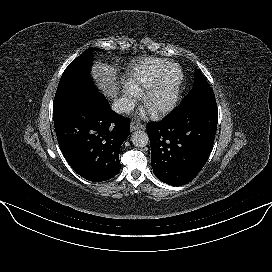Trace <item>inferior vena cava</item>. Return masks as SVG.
Returning <instances> with one entry per match:
<instances>
[{
    "label": "inferior vena cava",
    "mask_w": 272,
    "mask_h": 272,
    "mask_svg": "<svg viewBox=\"0 0 272 272\" xmlns=\"http://www.w3.org/2000/svg\"><path fill=\"white\" fill-rule=\"evenodd\" d=\"M134 107H135L134 101L127 97L116 99L112 104V109L120 114L121 113L128 114L134 109Z\"/></svg>",
    "instance_id": "inferior-vena-cava-1"
}]
</instances>
